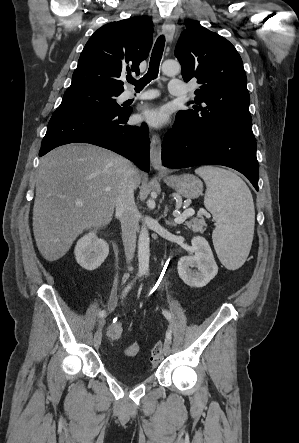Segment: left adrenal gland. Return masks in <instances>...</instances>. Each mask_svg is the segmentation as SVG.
Segmentation results:
<instances>
[{
  "label": "left adrenal gland",
  "mask_w": 299,
  "mask_h": 443,
  "mask_svg": "<svg viewBox=\"0 0 299 443\" xmlns=\"http://www.w3.org/2000/svg\"><path fill=\"white\" fill-rule=\"evenodd\" d=\"M167 212H168V207L166 206L165 211H164V218L167 216ZM165 223H166V225L171 226V227L176 226V224L172 220L165 219Z\"/></svg>",
  "instance_id": "left-adrenal-gland-1"
}]
</instances>
